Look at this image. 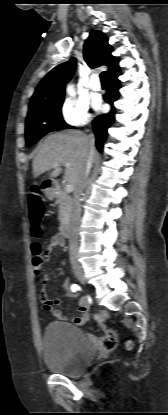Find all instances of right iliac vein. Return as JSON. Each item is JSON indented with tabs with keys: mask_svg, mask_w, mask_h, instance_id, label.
Wrapping results in <instances>:
<instances>
[{
	"mask_svg": "<svg viewBox=\"0 0 168 415\" xmlns=\"http://www.w3.org/2000/svg\"><path fill=\"white\" fill-rule=\"evenodd\" d=\"M75 277L79 280L80 283L85 284L86 280L81 270L75 272Z\"/></svg>",
	"mask_w": 168,
	"mask_h": 415,
	"instance_id": "63e3f726",
	"label": "right iliac vein"
}]
</instances>
